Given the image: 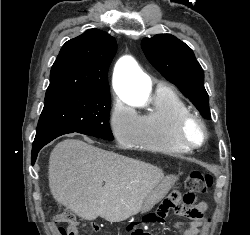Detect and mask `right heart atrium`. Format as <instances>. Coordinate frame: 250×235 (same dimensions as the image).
<instances>
[{
  "label": "right heart atrium",
  "mask_w": 250,
  "mask_h": 235,
  "mask_svg": "<svg viewBox=\"0 0 250 235\" xmlns=\"http://www.w3.org/2000/svg\"><path fill=\"white\" fill-rule=\"evenodd\" d=\"M110 129L120 145L129 147L139 137V116L119 99H114L109 112Z\"/></svg>",
  "instance_id": "1"
}]
</instances>
